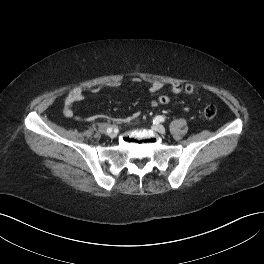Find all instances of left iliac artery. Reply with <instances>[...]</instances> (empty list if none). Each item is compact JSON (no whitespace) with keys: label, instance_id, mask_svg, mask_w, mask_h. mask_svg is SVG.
<instances>
[{"label":"left iliac artery","instance_id":"44dca946","mask_svg":"<svg viewBox=\"0 0 264 264\" xmlns=\"http://www.w3.org/2000/svg\"><path fill=\"white\" fill-rule=\"evenodd\" d=\"M154 121L157 122V123L164 122L165 118L163 116H156Z\"/></svg>","mask_w":264,"mask_h":264}]
</instances>
